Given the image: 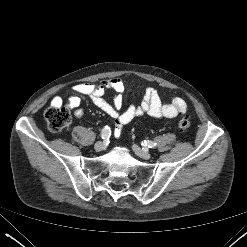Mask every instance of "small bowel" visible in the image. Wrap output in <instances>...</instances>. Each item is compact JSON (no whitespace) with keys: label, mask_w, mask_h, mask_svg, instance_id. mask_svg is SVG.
Listing matches in <instances>:
<instances>
[{"label":"small bowel","mask_w":247,"mask_h":247,"mask_svg":"<svg viewBox=\"0 0 247 247\" xmlns=\"http://www.w3.org/2000/svg\"><path fill=\"white\" fill-rule=\"evenodd\" d=\"M124 88V83L119 78L105 79L97 84L87 82L78 83L73 86L76 94L68 98L66 105L70 108H76L81 101L79 95L88 96L102 112L115 119L116 136H119L121 126L130 123L135 118L144 114L155 119H161L175 118L178 115L185 114L187 111V104L182 98L175 97L171 102L163 103L157 90L151 87L145 90L139 104H131L122 110V93L124 92ZM107 90H112L115 93L112 104L103 98ZM51 104L52 106H62L63 100L60 97H54ZM75 116L81 118L83 111L81 109L76 110Z\"/></svg>","instance_id":"1"}]
</instances>
